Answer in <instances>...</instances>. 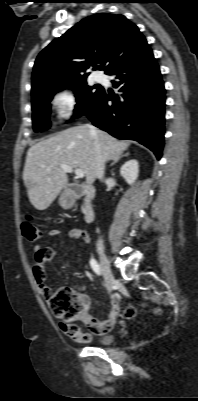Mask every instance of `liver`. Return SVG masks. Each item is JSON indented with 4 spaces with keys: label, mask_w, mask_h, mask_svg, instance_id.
<instances>
[{
    "label": "liver",
    "mask_w": 198,
    "mask_h": 401,
    "mask_svg": "<svg viewBox=\"0 0 198 401\" xmlns=\"http://www.w3.org/2000/svg\"><path fill=\"white\" fill-rule=\"evenodd\" d=\"M95 141L99 143L100 153L105 161L120 157L130 145L129 141H120L100 129H96V135L93 136L87 125H79L29 148L23 180L29 200L36 209H47L67 186L68 177L61 164L83 170L86 183H94Z\"/></svg>",
    "instance_id": "obj_1"
}]
</instances>
